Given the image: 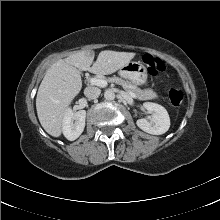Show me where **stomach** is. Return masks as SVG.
I'll list each match as a JSON object with an SVG mask.
<instances>
[{
    "label": "stomach",
    "instance_id": "1",
    "mask_svg": "<svg viewBox=\"0 0 220 220\" xmlns=\"http://www.w3.org/2000/svg\"><path fill=\"white\" fill-rule=\"evenodd\" d=\"M119 73L135 85H145L147 83V69L140 61H130L120 69Z\"/></svg>",
    "mask_w": 220,
    "mask_h": 220
}]
</instances>
